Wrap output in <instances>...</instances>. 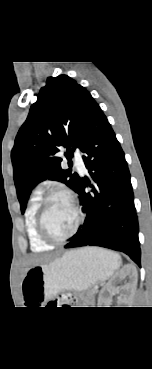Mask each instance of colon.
I'll list each match as a JSON object with an SVG mask.
<instances>
[{
    "label": "colon",
    "mask_w": 152,
    "mask_h": 369,
    "mask_svg": "<svg viewBox=\"0 0 152 369\" xmlns=\"http://www.w3.org/2000/svg\"><path fill=\"white\" fill-rule=\"evenodd\" d=\"M70 304V298L68 296L62 295L60 296L55 302H52V305L54 306H64L67 307Z\"/></svg>",
    "instance_id": "1"
}]
</instances>
